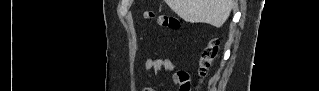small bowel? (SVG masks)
I'll list each match as a JSON object with an SVG mask.
<instances>
[{
	"label": "small bowel",
	"mask_w": 319,
	"mask_h": 91,
	"mask_svg": "<svg viewBox=\"0 0 319 91\" xmlns=\"http://www.w3.org/2000/svg\"><path fill=\"white\" fill-rule=\"evenodd\" d=\"M175 68V62L169 58H159V59H147L145 61L146 70H173ZM181 73L174 74V80L178 82Z\"/></svg>",
	"instance_id": "c3829d8e"
}]
</instances>
